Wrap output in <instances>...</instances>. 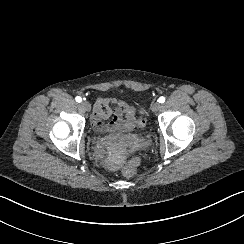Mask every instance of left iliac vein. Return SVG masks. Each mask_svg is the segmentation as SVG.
Masks as SVG:
<instances>
[{"label": "left iliac vein", "mask_w": 244, "mask_h": 244, "mask_svg": "<svg viewBox=\"0 0 244 244\" xmlns=\"http://www.w3.org/2000/svg\"><path fill=\"white\" fill-rule=\"evenodd\" d=\"M161 108H162V106L158 102L153 103L151 106V110L153 112H158Z\"/></svg>", "instance_id": "4c4485c4"}]
</instances>
